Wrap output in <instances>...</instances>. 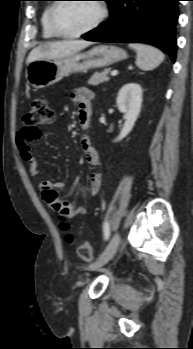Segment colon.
<instances>
[{
	"label": "colon",
	"instance_id": "obj_1",
	"mask_svg": "<svg viewBox=\"0 0 193 349\" xmlns=\"http://www.w3.org/2000/svg\"><path fill=\"white\" fill-rule=\"evenodd\" d=\"M55 119V113L53 109L50 107L49 102L45 98H38L35 99L30 107L28 112L25 114L23 120L33 135L37 137L39 135V131L36 128L38 125H47L51 124ZM60 219L63 221V228H67L66 222L68 221L63 215H59ZM77 254L79 257L90 263L94 260V251L91 247V245L83 241L81 242L77 247Z\"/></svg>",
	"mask_w": 193,
	"mask_h": 349
}]
</instances>
